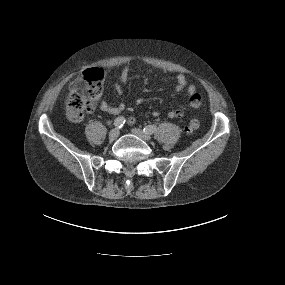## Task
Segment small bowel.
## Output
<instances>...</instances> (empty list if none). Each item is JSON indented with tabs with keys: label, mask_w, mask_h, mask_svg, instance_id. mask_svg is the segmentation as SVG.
<instances>
[{
	"label": "small bowel",
	"mask_w": 285,
	"mask_h": 285,
	"mask_svg": "<svg viewBox=\"0 0 285 285\" xmlns=\"http://www.w3.org/2000/svg\"><path fill=\"white\" fill-rule=\"evenodd\" d=\"M130 76V67H124L120 73V77L118 82L115 84V88L119 94L122 93V87L128 82ZM176 91L182 92L184 90L187 91L189 96V101L184 104L180 105L173 110H169L165 112V116L174 119V118H181L185 114L189 112L190 109H194L199 107L200 105V93L197 90V87L194 84H189L187 81V77L183 73H179L176 75ZM100 109L106 113L111 115H117L121 113L125 109V104L120 103L118 105H112L107 101H102L100 104ZM153 116L158 117L161 115L159 110L153 111ZM129 123H134V118L129 119Z\"/></svg>",
	"instance_id": "1"
}]
</instances>
